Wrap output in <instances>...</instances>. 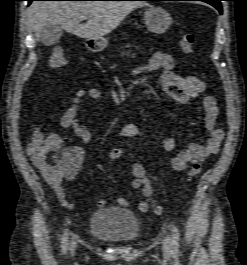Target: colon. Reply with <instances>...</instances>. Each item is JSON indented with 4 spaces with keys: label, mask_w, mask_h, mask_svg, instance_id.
I'll list each match as a JSON object with an SVG mask.
<instances>
[{
    "label": "colon",
    "mask_w": 247,
    "mask_h": 265,
    "mask_svg": "<svg viewBox=\"0 0 247 265\" xmlns=\"http://www.w3.org/2000/svg\"><path fill=\"white\" fill-rule=\"evenodd\" d=\"M181 50L185 54L193 52L195 44V36L193 34H184L179 41ZM66 63L65 54L62 48H54L50 60L49 67L58 69ZM27 152L34 160L37 166L46 171L53 177H63L67 174L71 166V159L62 148V144L52 135H45L39 130H34L31 142L28 144ZM122 150L113 148L108 158L116 161L121 158ZM201 165L199 162L193 163L189 170V177L193 178L200 173ZM154 210L157 214L162 213V207L156 205Z\"/></svg>",
    "instance_id": "colon-1"
}]
</instances>
